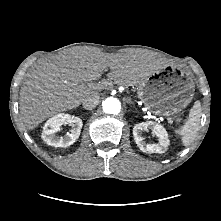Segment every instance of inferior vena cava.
<instances>
[{
    "instance_id": "602c4592",
    "label": "inferior vena cava",
    "mask_w": 221,
    "mask_h": 221,
    "mask_svg": "<svg viewBox=\"0 0 221 221\" xmlns=\"http://www.w3.org/2000/svg\"><path fill=\"white\" fill-rule=\"evenodd\" d=\"M99 99L98 94L89 95L83 100L82 106L87 110H92L98 105Z\"/></svg>"
}]
</instances>
